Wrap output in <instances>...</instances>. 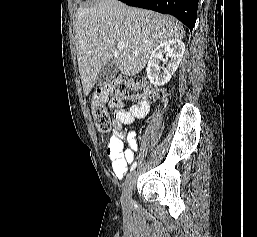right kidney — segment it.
<instances>
[{"mask_svg": "<svg viewBox=\"0 0 257 237\" xmlns=\"http://www.w3.org/2000/svg\"><path fill=\"white\" fill-rule=\"evenodd\" d=\"M184 51L185 45L179 39H170L159 44L151 53L147 64L146 72L149 81L158 86L168 83L177 70ZM168 59L170 60L167 63ZM160 62L163 63L162 67L159 66Z\"/></svg>", "mask_w": 257, "mask_h": 237, "instance_id": "1", "label": "right kidney"}]
</instances>
